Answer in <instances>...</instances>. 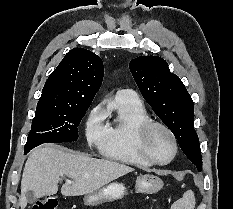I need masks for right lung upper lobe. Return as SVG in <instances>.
Instances as JSON below:
<instances>
[{"label":"right lung upper lobe","instance_id":"obj_1","mask_svg":"<svg viewBox=\"0 0 233 209\" xmlns=\"http://www.w3.org/2000/svg\"><path fill=\"white\" fill-rule=\"evenodd\" d=\"M103 75L98 55L83 48L70 50L48 77L36 111L62 112L91 104Z\"/></svg>","mask_w":233,"mask_h":209}]
</instances>
